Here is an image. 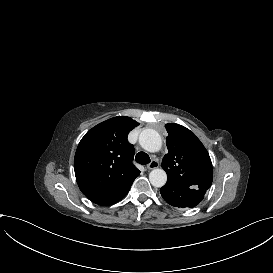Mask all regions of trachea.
<instances>
[{
    "mask_svg": "<svg viewBox=\"0 0 273 273\" xmlns=\"http://www.w3.org/2000/svg\"><path fill=\"white\" fill-rule=\"evenodd\" d=\"M135 160L137 163L142 164V165H146V164L150 163V161H151L149 155L145 152H138L136 154Z\"/></svg>",
    "mask_w": 273,
    "mask_h": 273,
    "instance_id": "1",
    "label": "trachea"
}]
</instances>
